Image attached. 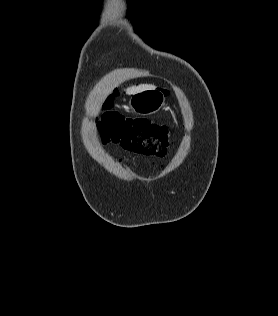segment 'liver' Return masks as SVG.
I'll use <instances>...</instances> for the list:
<instances>
[{
  "mask_svg": "<svg viewBox=\"0 0 278 316\" xmlns=\"http://www.w3.org/2000/svg\"><path fill=\"white\" fill-rule=\"evenodd\" d=\"M156 87L154 85H139V86H132L126 89L127 94H135L144 90L148 89H155Z\"/></svg>",
  "mask_w": 278,
  "mask_h": 316,
  "instance_id": "liver-1",
  "label": "liver"
}]
</instances>
